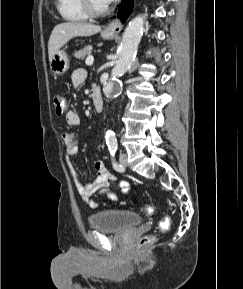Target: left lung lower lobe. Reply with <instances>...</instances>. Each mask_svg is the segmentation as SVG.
<instances>
[{
    "mask_svg": "<svg viewBox=\"0 0 243 289\" xmlns=\"http://www.w3.org/2000/svg\"><path fill=\"white\" fill-rule=\"evenodd\" d=\"M133 9V0H122L118 17H120L124 22L130 15L131 11Z\"/></svg>",
    "mask_w": 243,
    "mask_h": 289,
    "instance_id": "0a47b994",
    "label": "left lung lower lobe"
}]
</instances>
